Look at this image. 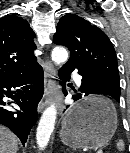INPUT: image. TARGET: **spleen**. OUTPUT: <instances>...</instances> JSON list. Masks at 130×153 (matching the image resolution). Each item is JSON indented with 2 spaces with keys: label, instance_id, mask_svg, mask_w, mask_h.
<instances>
[{
  "label": "spleen",
  "instance_id": "spleen-1",
  "mask_svg": "<svg viewBox=\"0 0 130 153\" xmlns=\"http://www.w3.org/2000/svg\"><path fill=\"white\" fill-rule=\"evenodd\" d=\"M117 147H118V149H120V150H123V149H124V143H123L122 140H120V141L117 143Z\"/></svg>",
  "mask_w": 130,
  "mask_h": 153
}]
</instances>
